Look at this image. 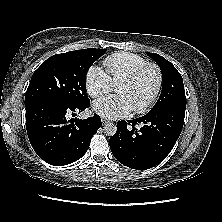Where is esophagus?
<instances>
[{"instance_id":"1","label":"esophagus","mask_w":222,"mask_h":222,"mask_svg":"<svg viewBox=\"0 0 222 222\" xmlns=\"http://www.w3.org/2000/svg\"><path fill=\"white\" fill-rule=\"evenodd\" d=\"M107 123H109L108 120H105V119L102 120V124H103V125H105V124H107Z\"/></svg>"}]
</instances>
